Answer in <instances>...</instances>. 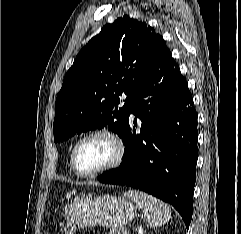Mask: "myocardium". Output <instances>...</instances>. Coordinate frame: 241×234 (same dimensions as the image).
Masks as SVG:
<instances>
[{
  "instance_id": "myocardium-1",
  "label": "myocardium",
  "mask_w": 241,
  "mask_h": 234,
  "mask_svg": "<svg viewBox=\"0 0 241 234\" xmlns=\"http://www.w3.org/2000/svg\"><path fill=\"white\" fill-rule=\"evenodd\" d=\"M95 136H105L108 139H110L115 147V156L112 159V161H110L108 164L104 165L103 167L97 170H94L92 172H82L78 169L77 163H76L77 150L84 141ZM124 155H125V144L122 138L117 133H115L114 131L108 128H97L90 132H87L76 141L71 151L70 165L76 175L84 178H92L118 167L122 163Z\"/></svg>"
}]
</instances>
